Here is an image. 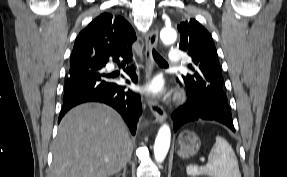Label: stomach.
Instances as JSON below:
<instances>
[{
	"mask_svg": "<svg viewBox=\"0 0 287 177\" xmlns=\"http://www.w3.org/2000/svg\"><path fill=\"white\" fill-rule=\"evenodd\" d=\"M200 146L199 136L193 131L184 130L178 136L177 154L183 159L191 158L197 154Z\"/></svg>",
	"mask_w": 287,
	"mask_h": 177,
	"instance_id": "0dacf381",
	"label": "stomach"
}]
</instances>
